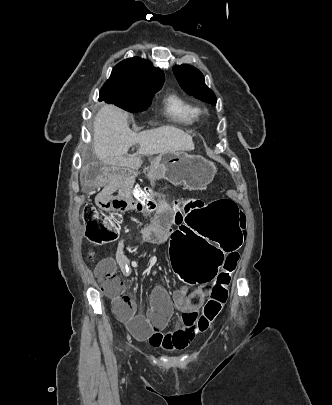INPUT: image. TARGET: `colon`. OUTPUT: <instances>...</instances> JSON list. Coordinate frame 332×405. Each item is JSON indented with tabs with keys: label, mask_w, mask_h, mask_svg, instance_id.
Listing matches in <instances>:
<instances>
[{
	"label": "colon",
	"mask_w": 332,
	"mask_h": 405,
	"mask_svg": "<svg viewBox=\"0 0 332 405\" xmlns=\"http://www.w3.org/2000/svg\"><path fill=\"white\" fill-rule=\"evenodd\" d=\"M129 191L141 203L140 212H161V204L154 200L157 191L152 184H131ZM166 205L175 209V220L187 212L189 219L182 220V225L167 240L168 275H176L177 281H184L186 287H208V281H213L215 275L210 299L197 321L199 330L204 331L228 299L231 276L238 262L236 254L242 249L240 207L229 197H214L213 202L205 205L198 200L169 197ZM195 208L197 211H190ZM117 216L106 215L94 205L86 204L82 218L87 238L93 243L114 241L119 233ZM103 290L113 299L116 314L123 318L133 316L135 300L114 272L103 276Z\"/></svg>",
	"instance_id": "5ec220e1"
}]
</instances>
